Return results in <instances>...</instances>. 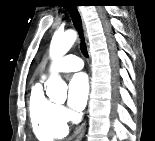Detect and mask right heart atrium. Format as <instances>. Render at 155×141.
Masks as SVG:
<instances>
[{
    "label": "right heart atrium",
    "instance_id": "obj_1",
    "mask_svg": "<svg viewBox=\"0 0 155 141\" xmlns=\"http://www.w3.org/2000/svg\"><path fill=\"white\" fill-rule=\"evenodd\" d=\"M59 110L60 115L65 122L75 119V116L64 107H59Z\"/></svg>",
    "mask_w": 155,
    "mask_h": 141
}]
</instances>
